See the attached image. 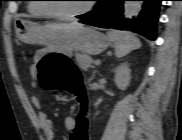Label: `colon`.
<instances>
[{
    "instance_id": "obj_1",
    "label": "colon",
    "mask_w": 182,
    "mask_h": 140,
    "mask_svg": "<svg viewBox=\"0 0 182 140\" xmlns=\"http://www.w3.org/2000/svg\"><path fill=\"white\" fill-rule=\"evenodd\" d=\"M41 85L72 94L77 103L70 140H88L89 96L83 76L76 64L65 56H47L37 65Z\"/></svg>"
}]
</instances>
